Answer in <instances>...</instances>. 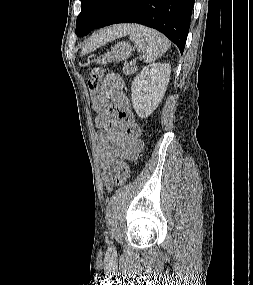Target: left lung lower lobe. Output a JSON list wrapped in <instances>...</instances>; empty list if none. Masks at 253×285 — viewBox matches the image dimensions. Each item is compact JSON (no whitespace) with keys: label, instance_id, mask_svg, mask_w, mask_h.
I'll use <instances>...</instances> for the list:
<instances>
[{"label":"left lung lower lobe","instance_id":"1","mask_svg":"<svg viewBox=\"0 0 253 285\" xmlns=\"http://www.w3.org/2000/svg\"><path fill=\"white\" fill-rule=\"evenodd\" d=\"M195 0H114L101 28L116 23H139L162 32L183 53Z\"/></svg>","mask_w":253,"mask_h":285}]
</instances>
